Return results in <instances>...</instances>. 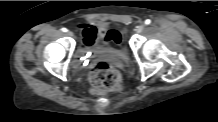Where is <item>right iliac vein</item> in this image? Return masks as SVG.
Wrapping results in <instances>:
<instances>
[{"mask_svg": "<svg viewBox=\"0 0 218 122\" xmlns=\"http://www.w3.org/2000/svg\"><path fill=\"white\" fill-rule=\"evenodd\" d=\"M66 35L69 36V37H72V36H73V32L67 31V32H66Z\"/></svg>", "mask_w": 218, "mask_h": 122, "instance_id": "1", "label": "right iliac vein"}]
</instances>
